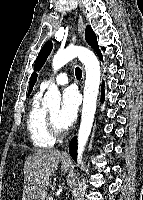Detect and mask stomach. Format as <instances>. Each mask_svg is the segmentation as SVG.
Returning a JSON list of instances; mask_svg holds the SVG:
<instances>
[{"mask_svg": "<svg viewBox=\"0 0 143 200\" xmlns=\"http://www.w3.org/2000/svg\"><path fill=\"white\" fill-rule=\"evenodd\" d=\"M61 169H62L63 172H67L68 166L63 163L62 166H61Z\"/></svg>", "mask_w": 143, "mask_h": 200, "instance_id": "obj_1", "label": "stomach"}]
</instances>
